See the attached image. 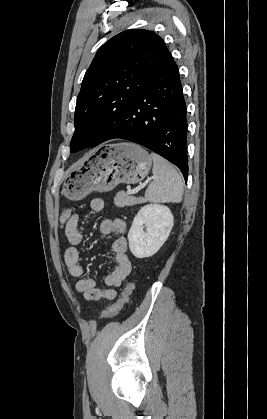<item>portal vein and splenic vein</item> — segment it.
<instances>
[{
	"label": "portal vein and splenic vein",
	"instance_id": "1",
	"mask_svg": "<svg viewBox=\"0 0 267 419\" xmlns=\"http://www.w3.org/2000/svg\"><path fill=\"white\" fill-rule=\"evenodd\" d=\"M145 185H146V183L142 184L141 186H139L138 188H136V189H134V190L128 189V190H127V194L131 195V194L137 193V192H138L141 188H143Z\"/></svg>",
	"mask_w": 267,
	"mask_h": 419
}]
</instances>
